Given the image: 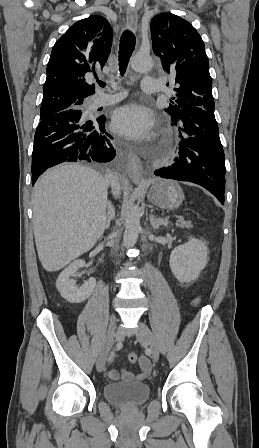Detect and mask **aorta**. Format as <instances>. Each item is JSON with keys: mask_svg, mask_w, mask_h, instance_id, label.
Returning <instances> with one entry per match:
<instances>
[{"mask_svg": "<svg viewBox=\"0 0 259 448\" xmlns=\"http://www.w3.org/2000/svg\"><path fill=\"white\" fill-rule=\"evenodd\" d=\"M131 66L137 72H147L152 68L153 62L148 55L136 54L131 60ZM140 217V209L137 205H134L128 216L123 237L126 248L134 247L137 242L139 232L141 231Z\"/></svg>", "mask_w": 259, "mask_h": 448, "instance_id": "762f6f07", "label": "aorta"}]
</instances>
